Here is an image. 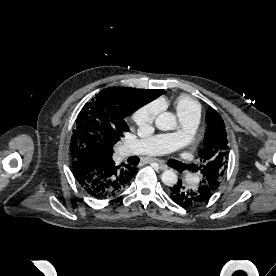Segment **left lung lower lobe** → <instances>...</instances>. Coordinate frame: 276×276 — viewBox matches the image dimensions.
<instances>
[{
  "mask_svg": "<svg viewBox=\"0 0 276 276\" xmlns=\"http://www.w3.org/2000/svg\"><path fill=\"white\" fill-rule=\"evenodd\" d=\"M170 197L178 205L189 208L199 206L206 201L212 195L211 189L207 185H199L195 188H187L179 180L178 183L170 187Z\"/></svg>",
  "mask_w": 276,
  "mask_h": 276,
  "instance_id": "0a47b994",
  "label": "left lung lower lobe"
}]
</instances>
